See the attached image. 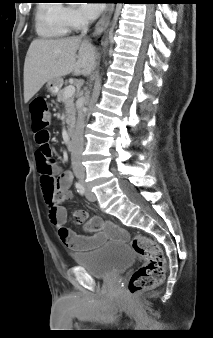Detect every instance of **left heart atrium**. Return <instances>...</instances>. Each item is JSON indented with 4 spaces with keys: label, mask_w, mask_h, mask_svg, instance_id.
<instances>
[{
    "label": "left heart atrium",
    "mask_w": 213,
    "mask_h": 338,
    "mask_svg": "<svg viewBox=\"0 0 213 338\" xmlns=\"http://www.w3.org/2000/svg\"><path fill=\"white\" fill-rule=\"evenodd\" d=\"M91 2V0H87ZM82 9L88 18H95L101 11V4L99 3H82Z\"/></svg>",
    "instance_id": "obj_1"
}]
</instances>
